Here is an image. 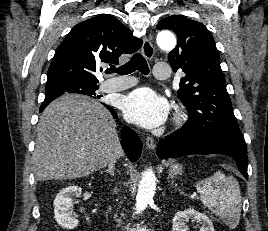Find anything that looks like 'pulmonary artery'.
<instances>
[{"mask_svg":"<svg viewBox=\"0 0 268 231\" xmlns=\"http://www.w3.org/2000/svg\"><path fill=\"white\" fill-rule=\"evenodd\" d=\"M153 76L156 80L167 81L170 76V67L167 63L156 64L153 71ZM134 85V80L130 77L111 78L107 80L102 89L107 93H114L125 90Z\"/></svg>","mask_w":268,"mask_h":231,"instance_id":"1","label":"pulmonary artery"}]
</instances>
